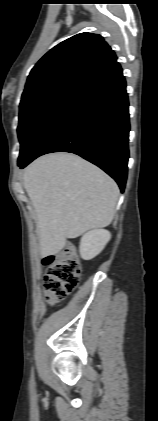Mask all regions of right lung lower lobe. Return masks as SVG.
Segmentation results:
<instances>
[{
    "instance_id": "98d812e1",
    "label": "right lung lower lobe",
    "mask_w": 158,
    "mask_h": 421,
    "mask_svg": "<svg viewBox=\"0 0 158 421\" xmlns=\"http://www.w3.org/2000/svg\"><path fill=\"white\" fill-rule=\"evenodd\" d=\"M126 82L115 61L90 79L67 100L44 127L22 169L51 152H71L92 162L124 191L130 130Z\"/></svg>"
}]
</instances>
